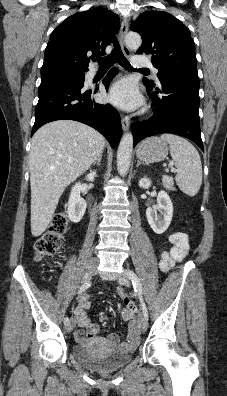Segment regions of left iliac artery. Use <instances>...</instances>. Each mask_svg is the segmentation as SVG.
Masks as SVG:
<instances>
[{
    "label": "left iliac artery",
    "instance_id": "1",
    "mask_svg": "<svg viewBox=\"0 0 227 396\" xmlns=\"http://www.w3.org/2000/svg\"><path fill=\"white\" fill-rule=\"evenodd\" d=\"M126 273H127L128 277L131 279V281L133 283V287H134L135 292L138 293V296H139L141 304H142L143 313H144L146 319H148V311H147V307H146V305L144 303V300H143L142 286H141L140 280H139V278L137 277V275L133 271L126 270Z\"/></svg>",
    "mask_w": 227,
    "mask_h": 396
}]
</instances>
